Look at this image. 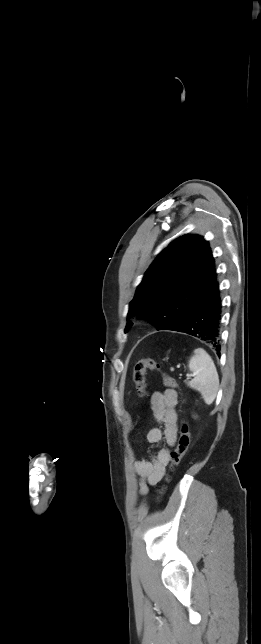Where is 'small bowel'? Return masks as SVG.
<instances>
[{
    "label": "small bowel",
    "instance_id": "1",
    "mask_svg": "<svg viewBox=\"0 0 261 644\" xmlns=\"http://www.w3.org/2000/svg\"><path fill=\"white\" fill-rule=\"evenodd\" d=\"M178 395L172 389L154 392L150 399V406L154 418L163 425L148 431L147 441L155 444L164 440L167 447L158 450L150 461L137 460L134 470L139 476V491L146 495L149 485L157 484L165 473L166 465L170 460V448L174 447L178 435V415L176 406Z\"/></svg>",
    "mask_w": 261,
    "mask_h": 644
}]
</instances>
